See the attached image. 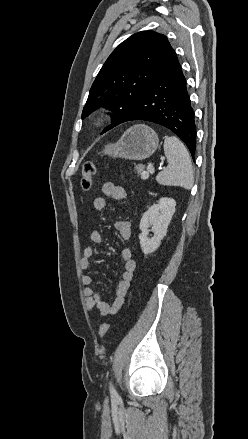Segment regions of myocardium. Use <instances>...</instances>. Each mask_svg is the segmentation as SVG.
Here are the masks:
<instances>
[{
  "mask_svg": "<svg viewBox=\"0 0 248 439\" xmlns=\"http://www.w3.org/2000/svg\"><path fill=\"white\" fill-rule=\"evenodd\" d=\"M104 118H105V115H100V116H98L96 119H94V121H93V126L94 127H99V126H101L102 125V123H103V121H104Z\"/></svg>",
  "mask_w": 248,
  "mask_h": 439,
  "instance_id": "obj_1",
  "label": "myocardium"
}]
</instances>
